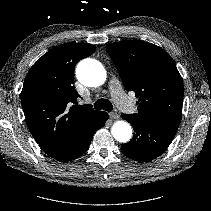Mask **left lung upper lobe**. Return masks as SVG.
Segmentation results:
<instances>
[{"instance_id": "left-lung-upper-lobe-1", "label": "left lung upper lobe", "mask_w": 211, "mask_h": 211, "mask_svg": "<svg viewBox=\"0 0 211 211\" xmlns=\"http://www.w3.org/2000/svg\"><path fill=\"white\" fill-rule=\"evenodd\" d=\"M106 50L123 84L138 98V113L144 121L180 124L183 81L170 55L159 46L140 40L110 43Z\"/></svg>"}]
</instances>
